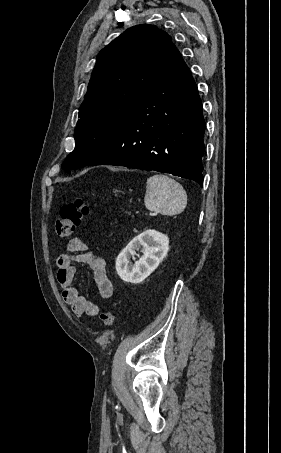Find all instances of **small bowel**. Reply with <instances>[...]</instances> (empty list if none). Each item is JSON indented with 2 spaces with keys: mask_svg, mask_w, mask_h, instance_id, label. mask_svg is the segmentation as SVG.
<instances>
[{
  "mask_svg": "<svg viewBox=\"0 0 281 453\" xmlns=\"http://www.w3.org/2000/svg\"><path fill=\"white\" fill-rule=\"evenodd\" d=\"M74 262L88 265L99 294L108 298L112 295V283L106 270L105 259L101 255L89 251L81 239L73 238L69 242L68 249L60 253L56 261L57 279L62 289L64 302L77 315L96 316L99 313V307L82 298L73 287Z\"/></svg>",
  "mask_w": 281,
  "mask_h": 453,
  "instance_id": "1",
  "label": "small bowel"
}]
</instances>
